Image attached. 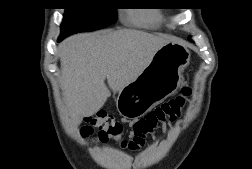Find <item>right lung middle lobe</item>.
<instances>
[{
  "label": "right lung middle lobe",
  "mask_w": 252,
  "mask_h": 169,
  "mask_svg": "<svg viewBox=\"0 0 252 169\" xmlns=\"http://www.w3.org/2000/svg\"><path fill=\"white\" fill-rule=\"evenodd\" d=\"M112 0H65L66 12L61 35L104 28L116 20V8Z\"/></svg>",
  "instance_id": "1"
}]
</instances>
